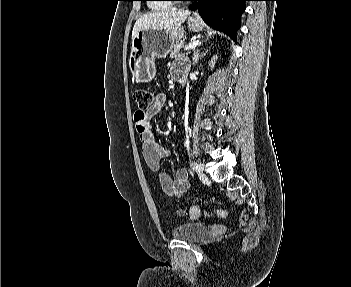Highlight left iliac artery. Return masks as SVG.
Listing matches in <instances>:
<instances>
[{
	"label": "left iliac artery",
	"mask_w": 351,
	"mask_h": 287,
	"mask_svg": "<svg viewBox=\"0 0 351 287\" xmlns=\"http://www.w3.org/2000/svg\"><path fill=\"white\" fill-rule=\"evenodd\" d=\"M197 167H198V164H197L196 162H194V163L192 164V169H193V170H196Z\"/></svg>",
	"instance_id": "left-iliac-artery-1"
}]
</instances>
